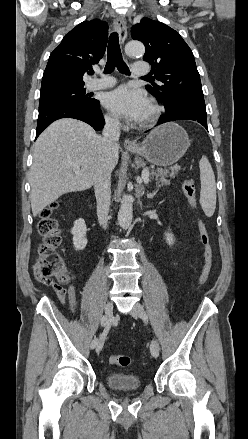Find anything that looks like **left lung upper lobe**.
Listing matches in <instances>:
<instances>
[{
  "mask_svg": "<svg viewBox=\"0 0 248 439\" xmlns=\"http://www.w3.org/2000/svg\"><path fill=\"white\" fill-rule=\"evenodd\" d=\"M131 37L145 45L143 60L152 65L159 85L146 89L163 103L165 111L179 104L205 107L193 53L180 34L159 21L144 18L134 25Z\"/></svg>",
  "mask_w": 248,
  "mask_h": 439,
  "instance_id": "1",
  "label": "left lung upper lobe"
}]
</instances>
